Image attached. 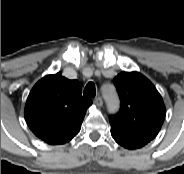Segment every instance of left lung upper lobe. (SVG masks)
Listing matches in <instances>:
<instances>
[{"label": "left lung upper lobe", "instance_id": "1", "mask_svg": "<svg viewBox=\"0 0 184 174\" xmlns=\"http://www.w3.org/2000/svg\"><path fill=\"white\" fill-rule=\"evenodd\" d=\"M113 82L121 109L110 116L111 127L135 137L154 139L166 115L164 102L155 86L138 72H121Z\"/></svg>", "mask_w": 184, "mask_h": 174}]
</instances>
